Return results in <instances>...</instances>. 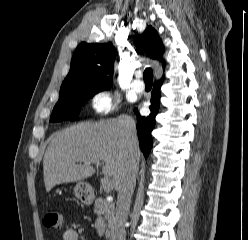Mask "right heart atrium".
Returning a JSON list of instances; mask_svg holds the SVG:
<instances>
[{"instance_id":"1","label":"right heart atrium","mask_w":248,"mask_h":240,"mask_svg":"<svg viewBox=\"0 0 248 240\" xmlns=\"http://www.w3.org/2000/svg\"><path fill=\"white\" fill-rule=\"evenodd\" d=\"M90 108L96 115H107L116 107V103L108 90H99L94 92L90 99Z\"/></svg>"}]
</instances>
